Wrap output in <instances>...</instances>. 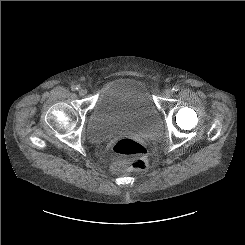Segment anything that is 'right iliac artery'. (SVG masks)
I'll use <instances>...</instances> for the list:
<instances>
[{
    "instance_id": "obj_1",
    "label": "right iliac artery",
    "mask_w": 245,
    "mask_h": 245,
    "mask_svg": "<svg viewBox=\"0 0 245 245\" xmlns=\"http://www.w3.org/2000/svg\"><path fill=\"white\" fill-rule=\"evenodd\" d=\"M79 88H80V86H79V85H77V86H72V88H71V89H72L73 91H75V90H78Z\"/></svg>"
}]
</instances>
